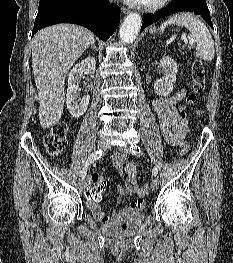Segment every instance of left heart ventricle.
I'll return each instance as SVG.
<instances>
[{
	"mask_svg": "<svg viewBox=\"0 0 233 263\" xmlns=\"http://www.w3.org/2000/svg\"><path fill=\"white\" fill-rule=\"evenodd\" d=\"M156 0H144V3H151V2H154Z\"/></svg>",
	"mask_w": 233,
	"mask_h": 263,
	"instance_id": "1",
	"label": "left heart ventricle"
}]
</instances>
